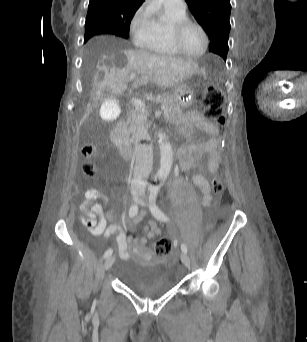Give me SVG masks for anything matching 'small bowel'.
Here are the masks:
<instances>
[{
    "mask_svg": "<svg viewBox=\"0 0 307 342\" xmlns=\"http://www.w3.org/2000/svg\"><path fill=\"white\" fill-rule=\"evenodd\" d=\"M196 131L202 132L206 137L196 143L181 148L178 156L180 159V167L183 170L199 167L200 172L192 176V181L202 193V205L208 207L212 199L211 188L204 173L206 170L213 172L214 168L220 163V154L218 152L219 129L218 126L207 118L199 114H193L186 133L189 137H192ZM205 155L208 157L207 167L200 166V161ZM98 201H102V203ZM107 202L108 198L104 193L96 188L88 189L85 192L84 201L81 204V210L83 212L81 221L94 236L108 238L116 234L117 248L121 258L127 259L133 252L143 251L146 248L147 241L161 233L158 224L151 220L149 226H145L144 228V236L139 238L127 236L123 227L114 223V211L104 212V206ZM143 217L144 213L138 214L125 228L133 230Z\"/></svg>",
    "mask_w": 307,
    "mask_h": 342,
    "instance_id": "1",
    "label": "small bowel"
}]
</instances>
